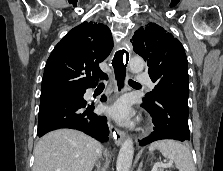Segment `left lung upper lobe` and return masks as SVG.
<instances>
[{
  "mask_svg": "<svg viewBox=\"0 0 223 171\" xmlns=\"http://www.w3.org/2000/svg\"><path fill=\"white\" fill-rule=\"evenodd\" d=\"M131 41L134 51L147 62L149 76L156 84L143 99L144 104H154L164 93L188 102V62L180 41L155 23L138 29Z\"/></svg>",
  "mask_w": 223,
  "mask_h": 171,
  "instance_id": "obj_1",
  "label": "left lung upper lobe"
}]
</instances>
